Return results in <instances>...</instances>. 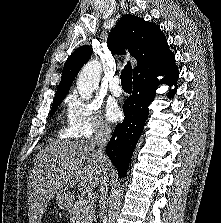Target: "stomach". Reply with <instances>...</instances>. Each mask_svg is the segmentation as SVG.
Returning <instances> with one entry per match:
<instances>
[{
    "label": "stomach",
    "mask_w": 221,
    "mask_h": 223,
    "mask_svg": "<svg viewBox=\"0 0 221 223\" xmlns=\"http://www.w3.org/2000/svg\"><path fill=\"white\" fill-rule=\"evenodd\" d=\"M73 199L72 193L66 191L56 196V203L61 209L68 210L73 204Z\"/></svg>",
    "instance_id": "obj_1"
}]
</instances>
